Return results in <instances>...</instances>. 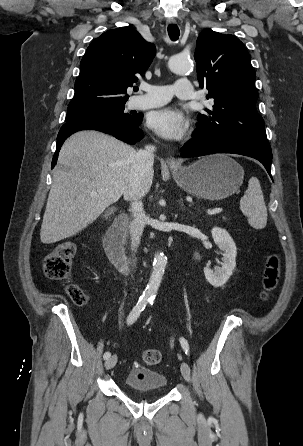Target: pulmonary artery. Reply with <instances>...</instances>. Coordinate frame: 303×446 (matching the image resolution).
Segmentation results:
<instances>
[{"label":"pulmonary artery","instance_id":"obj_1","mask_svg":"<svg viewBox=\"0 0 303 446\" xmlns=\"http://www.w3.org/2000/svg\"><path fill=\"white\" fill-rule=\"evenodd\" d=\"M143 95L132 98L130 106L135 109H147L159 107L175 95L179 99L189 100L194 98V90L188 79H178L171 86L143 85Z\"/></svg>","mask_w":303,"mask_h":446}]
</instances>
